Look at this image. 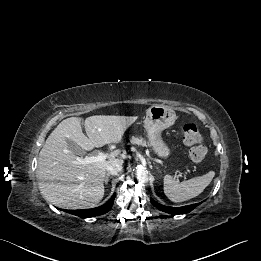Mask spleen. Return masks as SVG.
<instances>
[{
    "mask_svg": "<svg viewBox=\"0 0 261 261\" xmlns=\"http://www.w3.org/2000/svg\"><path fill=\"white\" fill-rule=\"evenodd\" d=\"M214 176L215 172L209 171L203 176L179 182L170 175H166L164 177V193L173 202L189 200L202 193Z\"/></svg>",
    "mask_w": 261,
    "mask_h": 261,
    "instance_id": "obj_1",
    "label": "spleen"
}]
</instances>
